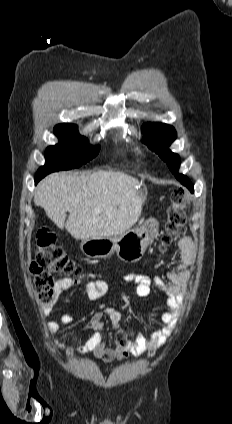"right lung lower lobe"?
Wrapping results in <instances>:
<instances>
[{
  "label": "right lung lower lobe",
  "instance_id": "obj_1",
  "mask_svg": "<svg viewBox=\"0 0 232 424\" xmlns=\"http://www.w3.org/2000/svg\"><path fill=\"white\" fill-rule=\"evenodd\" d=\"M42 178H35V184H37L39 182V180H41Z\"/></svg>",
  "mask_w": 232,
  "mask_h": 424
}]
</instances>
